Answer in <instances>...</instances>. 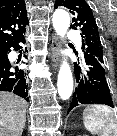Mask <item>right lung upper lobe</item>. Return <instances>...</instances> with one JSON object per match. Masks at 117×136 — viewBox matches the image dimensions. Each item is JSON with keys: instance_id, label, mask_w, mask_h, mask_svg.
I'll return each mask as SVG.
<instances>
[{"instance_id": "obj_1", "label": "right lung upper lobe", "mask_w": 117, "mask_h": 136, "mask_svg": "<svg viewBox=\"0 0 117 136\" xmlns=\"http://www.w3.org/2000/svg\"><path fill=\"white\" fill-rule=\"evenodd\" d=\"M28 24L24 0H0V53L25 33Z\"/></svg>"}]
</instances>
